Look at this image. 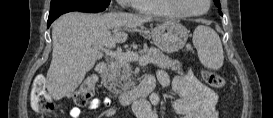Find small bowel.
<instances>
[{
	"label": "small bowel",
	"instance_id": "c3829d8e",
	"mask_svg": "<svg viewBox=\"0 0 273 118\" xmlns=\"http://www.w3.org/2000/svg\"><path fill=\"white\" fill-rule=\"evenodd\" d=\"M156 78L164 88H170L178 95L172 105L177 118H218L217 94L199 81L191 71L170 78L167 72L159 70L156 72ZM145 80L155 81V78L148 75ZM151 102L156 105L158 99L154 97ZM111 103L109 98H95L89 103L88 109L95 110L101 104L110 106ZM134 111L138 118H158L157 113L146 104L135 105ZM69 115L71 118H78L81 109L73 107Z\"/></svg>",
	"mask_w": 273,
	"mask_h": 118
}]
</instances>
